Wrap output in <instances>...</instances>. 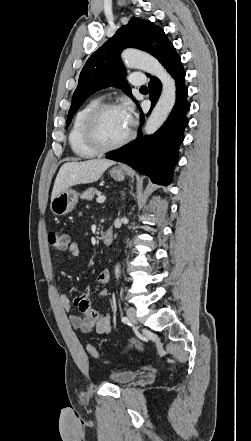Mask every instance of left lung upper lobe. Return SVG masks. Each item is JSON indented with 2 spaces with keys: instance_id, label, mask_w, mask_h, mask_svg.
Returning <instances> with one entry per match:
<instances>
[{
  "instance_id": "5c2ea615",
  "label": "left lung upper lobe",
  "mask_w": 251,
  "mask_h": 441,
  "mask_svg": "<svg viewBox=\"0 0 251 441\" xmlns=\"http://www.w3.org/2000/svg\"><path fill=\"white\" fill-rule=\"evenodd\" d=\"M128 47L146 51L162 63L173 45L163 29L148 20L134 17L127 25L120 27L112 38L90 56L83 67L73 94L66 127L85 100L100 89L122 87L127 95L132 96L120 58V52Z\"/></svg>"
}]
</instances>
